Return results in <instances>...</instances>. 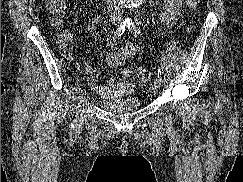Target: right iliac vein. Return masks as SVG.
I'll return each instance as SVG.
<instances>
[{
    "label": "right iliac vein",
    "mask_w": 243,
    "mask_h": 182,
    "mask_svg": "<svg viewBox=\"0 0 243 182\" xmlns=\"http://www.w3.org/2000/svg\"><path fill=\"white\" fill-rule=\"evenodd\" d=\"M85 95H86V91H85L84 87H81L80 100H79V106L78 107H81V104L84 102ZM81 123H82V114L79 111L77 113L76 124H77V126H80Z\"/></svg>",
    "instance_id": "1"
}]
</instances>
